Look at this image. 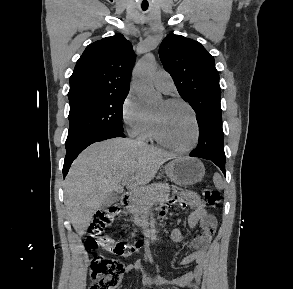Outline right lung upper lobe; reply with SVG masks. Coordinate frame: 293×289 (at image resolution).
<instances>
[{
    "label": "right lung upper lobe",
    "mask_w": 293,
    "mask_h": 289,
    "mask_svg": "<svg viewBox=\"0 0 293 289\" xmlns=\"http://www.w3.org/2000/svg\"><path fill=\"white\" fill-rule=\"evenodd\" d=\"M135 54L121 34L87 46L70 77L69 101L128 94Z\"/></svg>",
    "instance_id": "cb5924a9"
}]
</instances>
